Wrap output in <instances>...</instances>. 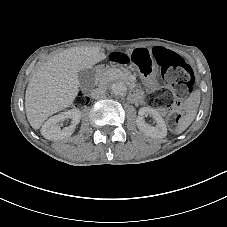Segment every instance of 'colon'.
I'll list each match as a JSON object with an SVG mask.
<instances>
[{
  "instance_id": "5ec220e1",
  "label": "colon",
  "mask_w": 227,
  "mask_h": 227,
  "mask_svg": "<svg viewBox=\"0 0 227 227\" xmlns=\"http://www.w3.org/2000/svg\"><path fill=\"white\" fill-rule=\"evenodd\" d=\"M110 60L122 65L133 66L144 74H149L154 65H158L170 84L172 90L162 89L149 96V103L159 109H166L175 105L178 101L189 96L194 90V76L190 65L178 54L164 48H155L153 57L150 59L147 55L133 51L130 54L113 53ZM89 101L88 95L81 91L74 99L76 107H82ZM181 118L179 110L172 112L167 123L171 129H174Z\"/></svg>"
}]
</instances>
